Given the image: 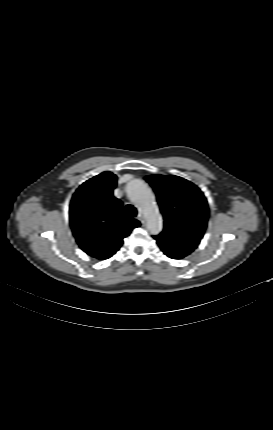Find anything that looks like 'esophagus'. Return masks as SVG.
Returning <instances> with one entry per match:
<instances>
[{
  "instance_id": "1",
  "label": "esophagus",
  "mask_w": 273,
  "mask_h": 430,
  "mask_svg": "<svg viewBox=\"0 0 273 430\" xmlns=\"http://www.w3.org/2000/svg\"><path fill=\"white\" fill-rule=\"evenodd\" d=\"M137 219H138L141 223H144V222H145L144 216H143L142 214H139V215H138V217H137Z\"/></svg>"
}]
</instances>
